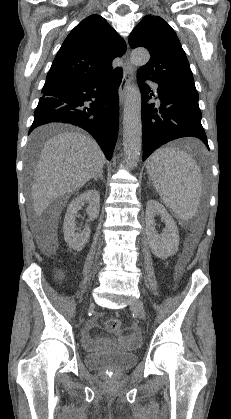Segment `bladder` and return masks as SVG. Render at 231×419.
Returning a JSON list of instances; mask_svg holds the SVG:
<instances>
[{
    "mask_svg": "<svg viewBox=\"0 0 231 419\" xmlns=\"http://www.w3.org/2000/svg\"><path fill=\"white\" fill-rule=\"evenodd\" d=\"M138 356L134 353L115 350L105 353H89L84 357L85 365L90 369L112 368L124 370L134 366Z\"/></svg>",
    "mask_w": 231,
    "mask_h": 419,
    "instance_id": "obj_1",
    "label": "bladder"
}]
</instances>
